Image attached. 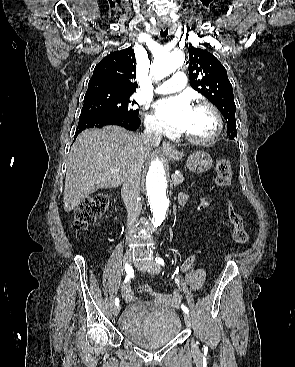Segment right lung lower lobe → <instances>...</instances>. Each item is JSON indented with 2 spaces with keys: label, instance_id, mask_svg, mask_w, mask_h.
Listing matches in <instances>:
<instances>
[{
  "label": "right lung lower lobe",
  "instance_id": "right-lung-lower-lobe-1",
  "mask_svg": "<svg viewBox=\"0 0 295 367\" xmlns=\"http://www.w3.org/2000/svg\"><path fill=\"white\" fill-rule=\"evenodd\" d=\"M141 121L138 116H123V115H113V116H95L86 117L79 119V123L75 132V137L87 129V128H101L106 125H118L124 127L128 130L136 131L140 126Z\"/></svg>",
  "mask_w": 295,
  "mask_h": 367
}]
</instances>
